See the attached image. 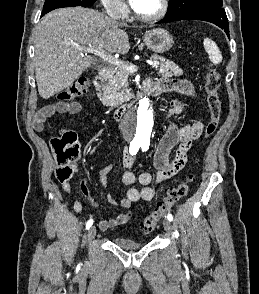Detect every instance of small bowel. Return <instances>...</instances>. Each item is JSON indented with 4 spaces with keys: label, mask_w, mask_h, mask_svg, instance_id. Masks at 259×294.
<instances>
[{
    "label": "small bowel",
    "mask_w": 259,
    "mask_h": 294,
    "mask_svg": "<svg viewBox=\"0 0 259 294\" xmlns=\"http://www.w3.org/2000/svg\"><path fill=\"white\" fill-rule=\"evenodd\" d=\"M154 86L156 94L178 92L186 96L194 95L192 84L186 80L163 78L160 79ZM183 108L184 104L179 100L173 101L168 107L165 132L158 142L154 153L155 173L153 175L149 172H143L137 176L131 170L133 166V155L130 154L129 150H124L122 160L125 171L122 176V183L125 186H131L138 182L141 185V189L130 187L126 192V196L121 200H116L109 196L108 199L112 205L119 206L124 210L114 218L101 220L99 222V228L101 230L106 231L119 225L126 224L132 215L129 210L132 204L140 201H151L154 198L155 192L150 187V184L153 181L155 183H162L166 179L176 175L186 165L188 151L192 142L201 136L203 132V123L202 121H196L194 123L178 127L174 122L170 121V118L179 114ZM80 110L81 106L78 102L59 101L54 104L46 105L34 115L32 127L35 131L41 132L47 118L53 116L54 114H76ZM176 145H178V147L175 156L173 160H170V152ZM112 170L113 165H107L100 170L99 183L102 187L106 186L109 174ZM62 188L73 201L74 209L77 212H80L82 206L77 199L72 185L68 181H65L62 183ZM80 190L94 203L90 196L85 179H83L80 183Z\"/></svg>",
    "instance_id": "c3829d8e"
}]
</instances>
